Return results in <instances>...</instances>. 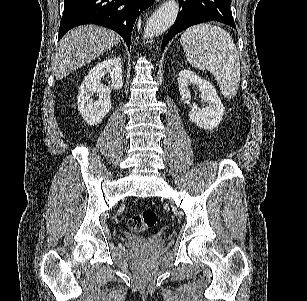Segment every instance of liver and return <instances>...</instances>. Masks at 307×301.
<instances>
[{"label": "liver", "instance_id": "obj_1", "mask_svg": "<svg viewBox=\"0 0 307 301\" xmlns=\"http://www.w3.org/2000/svg\"><path fill=\"white\" fill-rule=\"evenodd\" d=\"M118 42L119 34L104 26L82 24L72 28L61 38L52 58L56 80L91 62Z\"/></svg>", "mask_w": 307, "mask_h": 301}]
</instances>
